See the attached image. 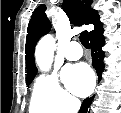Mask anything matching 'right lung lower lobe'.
Here are the masks:
<instances>
[{
	"label": "right lung lower lobe",
	"mask_w": 121,
	"mask_h": 113,
	"mask_svg": "<svg viewBox=\"0 0 121 113\" xmlns=\"http://www.w3.org/2000/svg\"><path fill=\"white\" fill-rule=\"evenodd\" d=\"M103 29L90 37V47L92 51V65L96 69L99 81L102 79V72L104 71L103 55L101 50L104 45ZM93 97L86 98L81 106L79 113H87Z\"/></svg>",
	"instance_id": "obj_1"
}]
</instances>
